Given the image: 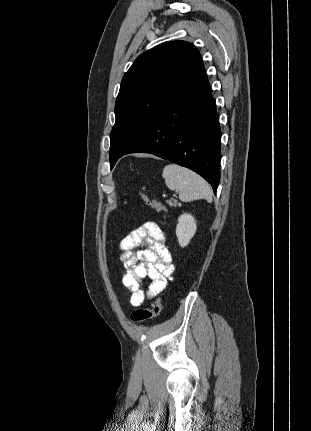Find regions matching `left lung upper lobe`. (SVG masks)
I'll return each instance as SVG.
<instances>
[{
    "instance_id": "left-lung-upper-lobe-1",
    "label": "left lung upper lobe",
    "mask_w": 311,
    "mask_h": 431,
    "mask_svg": "<svg viewBox=\"0 0 311 431\" xmlns=\"http://www.w3.org/2000/svg\"><path fill=\"white\" fill-rule=\"evenodd\" d=\"M202 64L198 49L185 41H167L138 56L125 73L116 99L111 168Z\"/></svg>"
}]
</instances>
